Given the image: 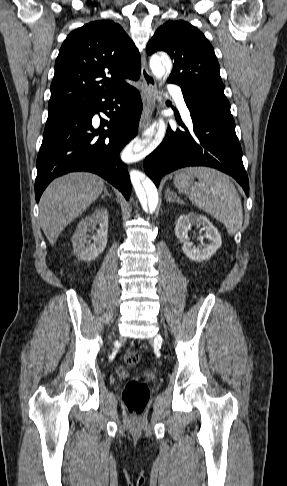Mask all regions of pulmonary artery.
<instances>
[{
	"instance_id": "pulmonary-artery-1",
	"label": "pulmonary artery",
	"mask_w": 287,
	"mask_h": 486,
	"mask_svg": "<svg viewBox=\"0 0 287 486\" xmlns=\"http://www.w3.org/2000/svg\"><path fill=\"white\" fill-rule=\"evenodd\" d=\"M168 88H169L170 92H172L175 95L176 102H177L179 108L181 109V111L183 112V114L187 118H189V112H188V109H187V106L185 104V101H184V98H183V95L181 93L180 88L175 86V85H170Z\"/></svg>"
}]
</instances>
